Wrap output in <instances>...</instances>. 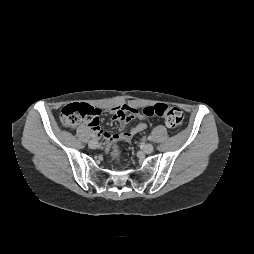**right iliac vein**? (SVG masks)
Wrapping results in <instances>:
<instances>
[{
	"label": "right iliac vein",
	"instance_id": "right-iliac-vein-1",
	"mask_svg": "<svg viewBox=\"0 0 254 254\" xmlns=\"http://www.w3.org/2000/svg\"><path fill=\"white\" fill-rule=\"evenodd\" d=\"M88 145L90 148L95 149L98 146V142H97V140L93 139V140L89 141Z\"/></svg>",
	"mask_w": 254,
	"mask_h": 254
}]
</instances>
